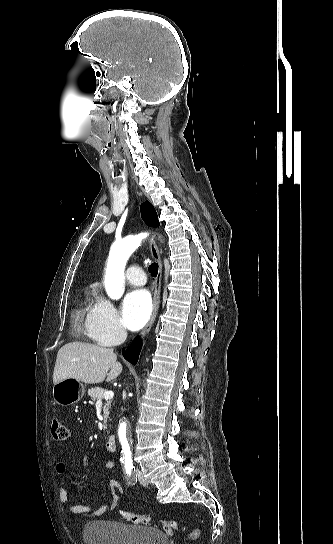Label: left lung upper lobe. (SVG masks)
<instances>
[{
    "mask_svg": "<svg viewBox=\"0 0 333 544\" xmlns=\"http://www.w3.org/2000/svg\"><path fill=\"white\" fill-rule=\"evenodd\" d=\"M141 215L146 224L152 227L159 226L157 214L148 201L141 204Z\"/></svg>",
    "mask_w": 333,
    "mask_h": 544,
    "instance_id": "5c2ea615",
    "label": "left lung upper lobe"
}]
</instances>
